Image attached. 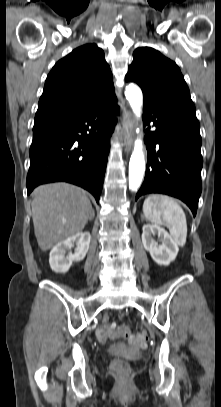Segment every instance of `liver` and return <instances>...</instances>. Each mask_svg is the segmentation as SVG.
<instances>
[{"label": "liver", "instance_id": "liver-1", "mask_svg": "<svg viewBox=\"0 0 221 407\" xmlns=\"http://www.w3.org/2000/svg\"><path fill=\"white\" fill-rule=\"evenodd\" d=\"M32 196L34 233L42 251L81 233L93 217L86 192L77 186L64 182L45 184L37 187Z\"/></svg>", "mask_w": 221, "mask_h": 407}]
</instances>
